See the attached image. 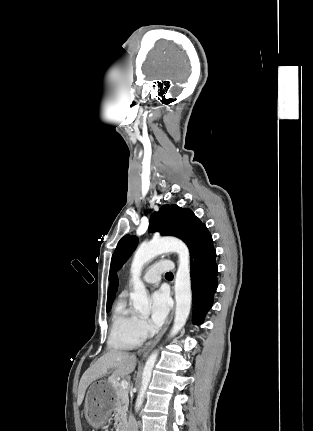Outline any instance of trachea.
I'll list each match as a JSON object with an SVG mask.
<instances>
[{
	"label": "trachea",
	"mask_w": 313,
	"mask_h": 431,
	"mask_svg": "<svg viewBox=\"0 0 313 431\" xmlns=\"http://www.w3.org/2000/svg\"><path fill=\"white\" fill-rule=\"evenodd\" d=\"M165 277H166V278H171V277H173V274H172L171 272H167V273L165 274Z\"/></svg>",
	"instance_id": "1"
}]
</instances>
